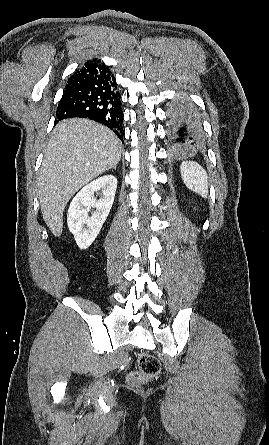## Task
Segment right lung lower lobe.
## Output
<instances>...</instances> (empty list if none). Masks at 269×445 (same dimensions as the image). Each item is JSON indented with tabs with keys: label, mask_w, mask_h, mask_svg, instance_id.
<instances>
[{
	"label": "right lung lower lobe",
	"mask_w": 269,
	"mask_h": 445,
	"mask_svg": "<svg viewBox=\"0 0 269 445\" xmlns=\"http://www.w3.org/2000/svg\"><path fill=\"white\" fill-rule=\"evenodd\" d=\"M55 123L67 118H89L109 127L123 142L121 95L115 77L98 60L87 61L63 91Z\"/></svg>",
	"instance_id": "1"
}]
</instances>
